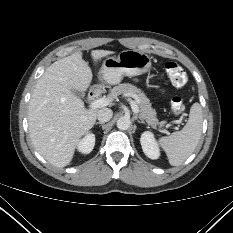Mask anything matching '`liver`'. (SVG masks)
Listing matches in <instances>:
<instances>
[{"label":"liver","mask_w":233,"mask_h":233,"mask_svg":"<svg viewBox=\"0 0 233 233\" xmlns=\"http://www.w3.org/2000/svg\"><path fill=\"white\" fill-rule=\"evenodd\" d=\"M114 54L92 50L94 62ZM92 72L76 52L49 66L38 79L28 107V124L32 143L38 153L52 165L67 166L80 138L95 124L97 109H86L73 90L84 92L90 86Z\"/></svg>","instance_id":"1"}]
</instances>
